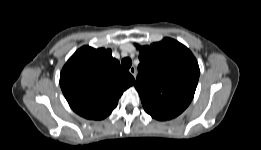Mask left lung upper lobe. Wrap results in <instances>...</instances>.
<instances>
[{"label": "left lung upper lobe", "mask_w": 261, "mask_h": 150, "mask_svg": "<svg viewBox=\"0 0 261 150\" xmlns=\"http://www.w3.org/2000/svg\"><path fill=\"white\" fill-rule=\"evenodd\" d=\"M136 46L140 64L135 87L145 111L165 119L178 116L192 101L197 87L200 70L196 58L171 38Z\"/></svg>", "instance_id": "left-lung-upper-lobe-1"}]
</instances>
